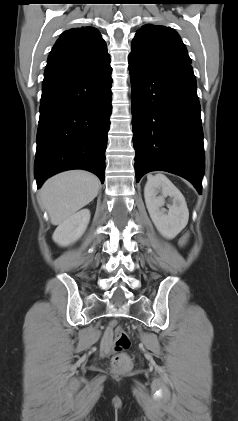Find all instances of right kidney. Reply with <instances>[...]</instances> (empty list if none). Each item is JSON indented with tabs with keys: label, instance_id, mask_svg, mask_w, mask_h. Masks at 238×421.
<instances>
[{
	"label": "right kidney",
	"instance_id": "right-kidney-1",
	"mask_svg": "<svg viewBox=\"0 0 238 421\" xmlns=\"http://www.w3.org/2000/svg\"><path fill=\"white\" fill-rule=\"evenodd\" d=\"M90 221V211L83 209L62 222L53 233V241L66 247L77 241L85 232Z\"/></svg>",
	"mask_w": 238,
	"mask_h": 421
}]
</instances>
